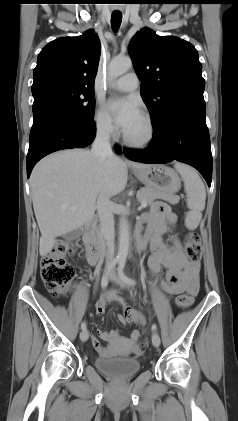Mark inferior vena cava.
Segmentation results:
<instances>
[{"instance_id": "602c4592", "label": "inferior vena cava", "mask_w": 238, "mask_h": 421, "mask_svg": "<svg viewBox=\"0 0 238 421\" xmlns=\"http://www.w3.org/2000/svg\"><path fill=\"white\" fill-rule=\"evenodd\" d=\"M110 127H99L95 140L92 144V152L98 158H106L113 155L110 144ZM97 213L100 220V232L106 241L107 263L113 262L114 257V216L112 213L110 197L102 194L97 199Z\"/></svg>"}]
</instances>
